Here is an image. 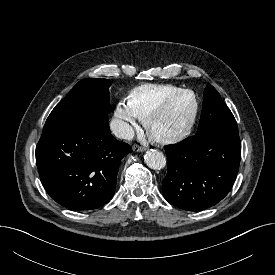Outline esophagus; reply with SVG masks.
Listing matches in <instances>:
<instances>
[{
  "mask_svg": "<svg viewBox=\"0 0 275 275\" xmlns=\"http://www.w3.org/2000/svg\"><path fill=\"white\" fill-rule=\"evenodd\" d=\"M132 149H133L135 152H142V151L145 150L144 147H142V146H140V145H138V144H134L133 147H132Z\"/></svg>",
  "mask_w": 275,
  "mask_h": 275,
  "instance_id": "34e87169",
  "label": "esophagus"
}]
</instances>
